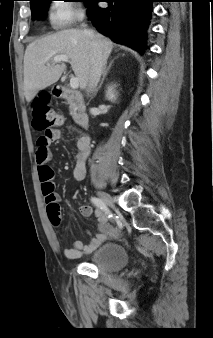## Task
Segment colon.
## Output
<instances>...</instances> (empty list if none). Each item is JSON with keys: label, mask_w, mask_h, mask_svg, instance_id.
Returning a JSON list of instances; mask_svg holds the SVG:
<instances>
[{"label": "colon", "mask_w": 213, "mask_h": 338, "mask_svg": "<svg viewBox=\"0 0 213 338\" xmlns=\"http://www.w3.org/2000/svg\"><path fill=\"white\" fill-rule=\"evenodd\" d=\"M33 109L34 128L42 130L46 136L50 137L52 135V128L60 125L63 122L62 118L52 111L47 97L38 98L33 104ZM40 182L44 199L48 202L52 198L54 190V174L52 169L40 170ZM53 212L54 215L51 217V222L56 225L59 223L60 217L57 216L56 210H53Z\"/></svg>", "instance_id": "1"}]
</instances>
